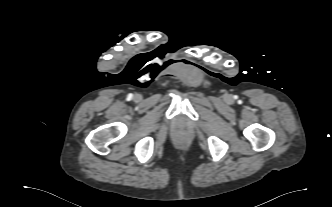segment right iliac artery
<instances>
[{"instance_id": "1", "label": "right iliac artery", "mask_w": 332, "mask_h": 207, "mask_svg": "<svg viewBox=\"0 0 332 207\" xmlns=\"http://www.w3.org/2000/svg\"><path fill=\"white\" fill-rule=\"evenodd\" d=\"M132 97H133L132 94H129V95H128V99H131Z\"/></svg>"}]
</instances>
